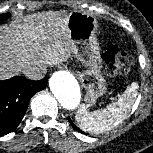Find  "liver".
<instances>
[{"label":"liver","instance_id":"1","mask_svg":"<svg viewBox=\"0 0 153 153\" xmlns=\"http://www.w3.org/2000/svg\"><path fill=\"white\" fill-rule=\"evenodd\" d=\"M23 21L12 28H0V80L33 63L64 62L72 52L67 18L48 20L46 25L44 16L35 14Z\"/></svg>","mask_w":153,"mask_h":153}]
</instances>
